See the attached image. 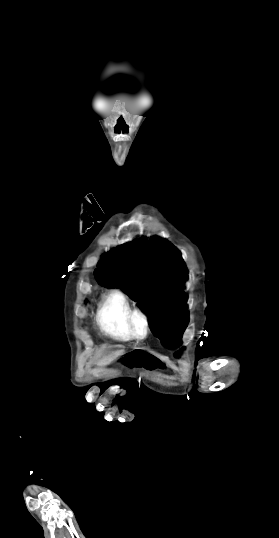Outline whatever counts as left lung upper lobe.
<instances>
[{
  "instance_id": "1",
  "label": "left lung upper lobe",
  "mask_w": 279,
  "mask_h": 538,
  "mask_svg": "<svg viewBox=\"0 0 279 538\" xmlns=\"http://www.w3.org/2000/svg\"><path fill=\"white\" fill-rule=\"evenodd\" d=\"M97 267L96 280L121 288L138 302L149 315L156 337L166 332L182 337L189 321L183 291L187 269L175 246L140 238L102 255Z\"/></svg>"
}]
</instances>
